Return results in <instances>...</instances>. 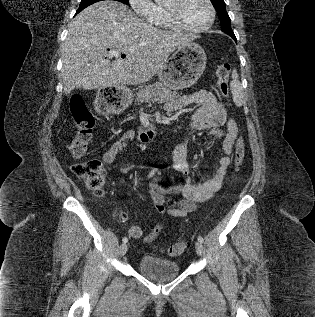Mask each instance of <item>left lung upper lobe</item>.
Masks as SVG:
<instances>
[{"label": "left lung upper lobe", "mask_w": 315, "mask_h": 317, "mask_svg": "<svg viewBox=\"0 0 315 317\" xmlns=\"http://www.w3.org/2000/svg\"><path fill=\"white\" fill-rule=\"evenodd\" d=\"M217 11L218 17L221 21V30L229 36H235L230 25V17L226 12V4L224 0H210Z\"/></svg>", "instance_id": "obj_1"}]
</instances>
